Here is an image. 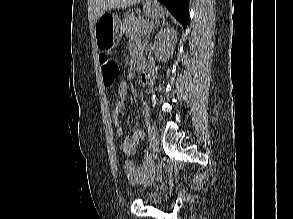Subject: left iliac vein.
<instances>
[{
    "instance_id": "left-iliac-vein-1",
    "label": "left iliac vein",
    "mask_w": 293,
    "mask_h": 219,
    "mask_svg": "<svg viewBox=\"0 0 293 219\" xmlns=\"http://www.w3.org/2000/svg\"><path fill=\"white\" fill-rule=\"evenodd\" d=\"M148 135L150 140V147L153 152V156L156 157L159 149L158 132L154 124L149 123Z\"/></svg>"
}]
</instances>
